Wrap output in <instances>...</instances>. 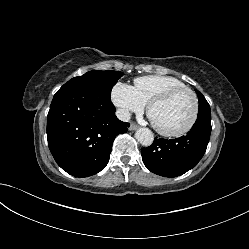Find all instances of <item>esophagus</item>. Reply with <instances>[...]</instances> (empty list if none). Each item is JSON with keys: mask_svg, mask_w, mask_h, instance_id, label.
I'll list each match as a JSON object with an SVG mask.
<instances>
[{"mask_svg": "<svg viewBox=\"0 0 249 249\" xmlns=\"http://www.w3.org/2000/svg\"><path fill=\"white\" fill-rule=\"evenodd\" d=\"M138 128V126L134 123H131L130 126H129V130L130 131H133V130H136Z\"/></svg>", "mask_w": 249, "mask_h": 249, "instance_id": "esophagus-1", "label": "esophagus"}]
</instances>
